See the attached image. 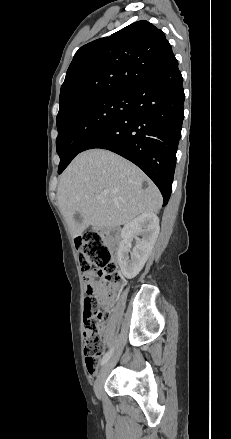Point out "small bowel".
<instances>
[{"mask_svg":"<svg viewBox=\"0 0 231 439\" xmlns=\"http://www.w3.org/2000/svg\"><path fill=\"white\" fill-rule=\"evenodd\" d=\"M85 283H86V292L92 291L98 294L102 299V303L106 306L109 305V298L107 293L100 292V287L91 273L85 274Z\"/></svg>","mask_w":231,"mask_h":439,"instance_id":"c3829d8e","label":"small bowel"}]
</instances>
